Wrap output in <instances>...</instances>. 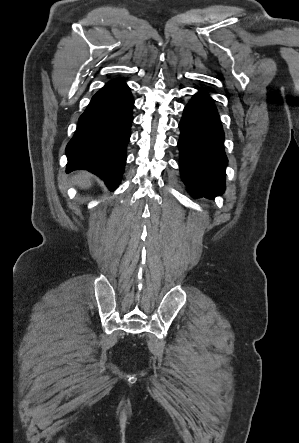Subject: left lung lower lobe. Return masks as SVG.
I'll list each match as a JSON object with an SVG mask.
<instances>
[{
	"label": "left lung lower lobe",
	"mask_w": 299,
	"mask_h": 443,
	"mask_svg": "<svg viewBox=\"0 0 299 443\" xmlns=\"http://www.w3.org/2000/svg\"><path fill=\"white\" fill-rule=\"evenodd\" d=\"M180 171L190 195L214 198L225 190L224 132L212 99L197 93L179 124Z\"/></svg>",
	"instance_id": "left-lung-lower-lobe-1"
}]
</instances>
